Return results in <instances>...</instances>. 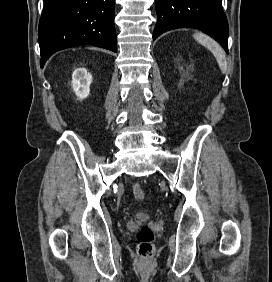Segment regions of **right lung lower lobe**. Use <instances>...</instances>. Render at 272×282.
Instances as JSON below:
<instances>
[{
    "mask_svg": "<svg viewBox=\"0 0 272 282\" xmlns=\"http://www.w3.org/2000/svg\"><path fill=\"white\" fill-rule=\"evenodd\" d=\"M115 0H44L38 28L40 65L55 52L80 44L117 51Z\"/></svg>",
    "mask_w": 272,
    "mask_h": 282,
    "instance_id": "obj_1",
    "label": "right lung lower lobe"
}]
</instances>
